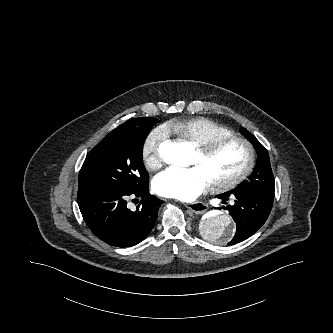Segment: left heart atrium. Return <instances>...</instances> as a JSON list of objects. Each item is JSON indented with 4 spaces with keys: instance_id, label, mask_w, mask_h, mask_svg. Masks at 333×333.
Instances as JSON below:
<instances>
[{
    "instance_id": "1",
    "label": "left heart atrium",
    "mask_w": 333,
    "mask_h": 333,
    "mask_svg": "<svg viewBox=\"0 0 333 333\" xmlns=\"http://www.w3.org/2000/svg\"><path fill=\"white\" fill-rule=\"evenodd\" d=\"M210 183V178L198 165L170 167L155 178L154 188L159 195L190 201L198 197Z\"/></svg>"
}]
</instances>
